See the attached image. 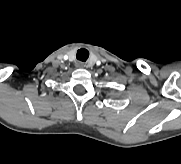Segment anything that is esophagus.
Returning a JSON list of instances; mask_svg holds the SVG:
<instances>
[{
	"label": "esophagus",
	"instance_id": "1",
	"mask_svg": "<svg viewBox=\"0 0 181 164\" xmlns=\"http://www.w3.org/2000/svg\"><path fill=\"white\" fill-rule=\"evenodd\" d=\"M76 66L78 67V68H84L85 67V64H84V62H77L76 63Z\"/></svg>",
	"mask_w": 181,
	"mask_h": 164
}]
</instances>
